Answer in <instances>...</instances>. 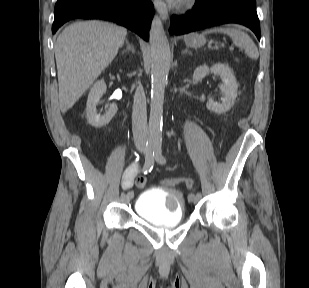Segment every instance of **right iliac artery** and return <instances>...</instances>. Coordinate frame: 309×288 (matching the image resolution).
Masks as SVG:
<instances>
[{"instance_id":"82829eb1","label":"right iliac artery","mask_w":309,"mask_h":288,"mask_svg":"<svg viewBox=\"0 0 309 288\" xmlns=\"http://www.w3.org/2000/svg\"><path fill=\"white\" fill-rule=\"evenodd\" d=\"M154 149H155V139L149 138L146 142V156L145 164H143V169L152 171L154 165ZM129 197H134L133 190H128Z\"/></svg>"}]
</instances>
